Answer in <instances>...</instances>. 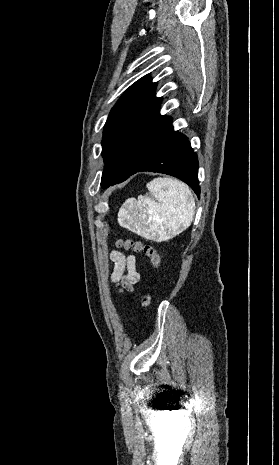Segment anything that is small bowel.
<instances>
[{"label":"small bowel","mask_w":279,"mask_h":465,"mask_svg":"<svg viewBox=\"0 0 279 465\" xmlns=\"http://www.w3.org/2000/svg\"><path fill=\"white\" fill-rule=\"evenodd\" d=\"M110 260L114 264L111 280L118 291L120 293L132 292L140 280L135 256H126L120 251L113 250L110 253Z\"/></svg>","instance_id":"obj_1"}]
</instances>
